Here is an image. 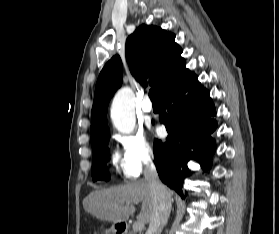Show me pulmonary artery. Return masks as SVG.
Returning <instances> with one entry per match:
<instances>
[{"label":"pulmonary artery","mask_w":279,"mask_h":234,"mask_svg":"<svg viewBox=\"0 0 279 234\" xmlns=\"http://www.w3.org/2000/svg\"><path fill=\"white\" fill-rule=\"evenodd\" d=\"M141 109L144 113H151L153 111L152 103L150 102L148 97H145L142 104Z\"/></svg>","instance_id":"obj_1"}]
</instances>
